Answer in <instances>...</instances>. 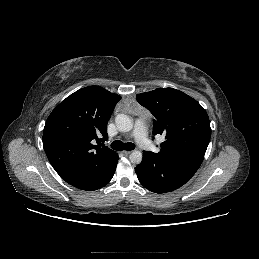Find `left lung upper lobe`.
Returning a JSON list of instances; mask_svg holds the SVG:
<instances>
[{
  "label": "left lung upper lobe",
  "mask_w": 259,
  "mask_h": 259,
  "mask_svg": "<svg viewBox=\"0 0 259 259\" xmlns=\"http://www.w3.org/2000/svg\"><path fill=\"white\" fill-rule=\"evenodd\" d=\"M137 101L155 117L153 134H163L157 157L198 169L210 141V121L205 109L187 94L158 88L137 94Z\"/></svg>",
  "instance_id": "1"
}]
</instances>
